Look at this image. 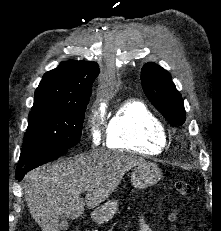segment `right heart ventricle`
<instances>
[{"instance_id":"right-heart-ventricle-1","label":"right heart ventricle","mask_w":221,"mask_h":231,"mask_svg":"<svg viewBox=\"0 0 221 231\" xmlns=\"http://www.w3.org/2000/svg\"><path fill=\"white\" fill-rule=\"evenodd\" d=\"M167 144L161 120L141 101L128 100L111 115L107 125L108 148L155 155Z\"/></svg>"}]
</instances>
